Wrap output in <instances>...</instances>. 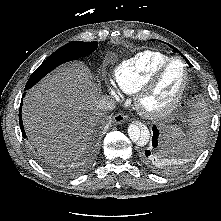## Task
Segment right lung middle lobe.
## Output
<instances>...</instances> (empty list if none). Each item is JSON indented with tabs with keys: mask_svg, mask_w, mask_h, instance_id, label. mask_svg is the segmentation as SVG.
Segmentation results:
<instances>
[{
	"mask_svg": "<svg viewBox=\"0 0 221 221\" xmlns=\"http://www.w3.org/2000/svg\"><path fill=\"white\" fill-rule=\"evenodd\" d=\"M97 46V42L73 41L67 43L51 54L37 68V70L29 78L25 89L33 87L41 78H43L58 65L91 54L94 50H96Z\"/></svg>",
	"mask_w": 221,
	"mask_h": 221,
	"instance_id": "right-lung-middle-lobe-1",
	"label": "right lung middle lobe"
}]
</instances>
